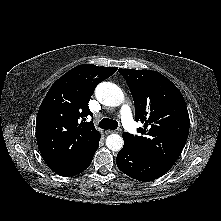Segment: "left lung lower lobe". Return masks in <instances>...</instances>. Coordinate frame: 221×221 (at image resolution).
<instances>
[{
  "label": "left lung lower lobe",
  "mask_w": 221,
  "mask_h": 221,
  "mask_svg": "<svg viewBox=\"0 0 221 221\" xmlns=\"http://www.w3.org/2000/svg\"><path fill=\"white\" fill-rule=\"evenodd\" d=\"M124 139V146L118 152L116 163L126 175L139 181L149 182L164 175L171 166H168L152 157L138 151Z\"/></svg>",
  "instance_id": "left-lung-lower-lobe-1"
}]
</instances>
